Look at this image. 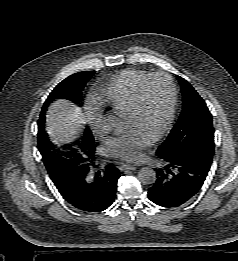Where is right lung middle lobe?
I'll use <instances>...</instances> for the list:
<instances>
[{"mask_svg": "<svg viewBox=\"0 0 238 261\" xmlns=\"http://www.w3.org/2000/svg\"><path fill=\"white\" fill-rule=\"evenodd\" d=\"M93 74L94 71H84L67 77L52 90L42 108L38 122V147L50 178L56 185L68 182L76 173L93 163L94 138L86 127L82 138L75 145L56 148L44 130L45 111L48 104L56 98H66L78 103L84 86Z\"/></svg>", "mask_w": 238, "mask_h": 261, "instance_id": "dd1d6c3e", "label": "right lung middle lobe"}]
</instances>
